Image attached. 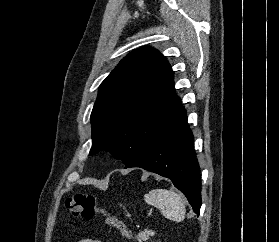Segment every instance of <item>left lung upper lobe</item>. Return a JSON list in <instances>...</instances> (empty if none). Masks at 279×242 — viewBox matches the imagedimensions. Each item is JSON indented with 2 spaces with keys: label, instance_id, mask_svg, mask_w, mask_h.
<instances>
[{
  "label": "left lung upper lobe",
  "instance_id": "obj_1",
  "mask_svg": "<svg viewBox=\"0 0 279 242\" xmlns=\"http://www.w3.org/2000/svg\"><path fill=\"white\" fill-rule=\"evenodd\" d=\"M185 109L173 71L151 47L127 55L99 86L91 113L92 147L128 164L171 128Z\"/></svg>",
  "mask_w": 279,
  "mask_h": 242
}]
</instances>
